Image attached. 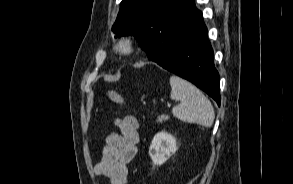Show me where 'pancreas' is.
<instances>
[{
    "label": "pancreas",
    "mask_w": 293,
    "mask_h": 184,
    "mask_svg": "<svg viewBox=\"0 0 293 184\" xmlns=\"http://www.w3.org/2000/svg\"><path fill=\"white\" fill-rule=\"evenodd\" d=\"M167 119H168V116L160 115L157 117V123H162L163 121H166Z\"/></svg>",
    "instance_id": "pancreas-1"
}]
</instances>
